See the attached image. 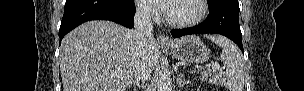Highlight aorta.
<instances>
[{
    "mask_svg": "<svg viewBox=\"0 0 304 91\" xmlns=\"http://www.w3.org/2000/svg\"><path fill=\"white\" fill-rule=\"evenodd\" d=\"M157 86H158V91H171L172 82L170 76L167 75L166 73H161L159 75Z\"/></svg>",
    "mask_w": 304,
    "mask_h": 91,
    "instance_id": "762f6f07",
    "label": "aorta"
}]
</instances>
